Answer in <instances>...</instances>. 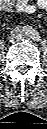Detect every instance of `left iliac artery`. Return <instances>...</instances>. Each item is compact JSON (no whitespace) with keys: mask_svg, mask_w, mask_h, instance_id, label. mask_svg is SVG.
Masks as SVG:
<instances>
[{"mask_svg":"<svg viewBox=\"0 0 47 129\" xmlns=\"http://www.w3.org/2000/svg\"><path fill=\"white\" fill-rule=\"evenodd\" d=\"M30 34H31V38L33 40H37L38 41L41 38L40 34L38 32H36V31H32Z\"/></svg>","mask_w":47,"mask_h":129,"instance_id":"left-iliac-artery-1","label":"left iliac artery"}]
</instances>
